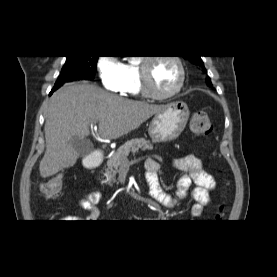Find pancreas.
<instances>
[{"mask_svg": "<svg viewBox=\"0 0 277 277\" xmlns=\"http://www.w3.org/2000/svg\"><path fill=\"white\" fill-rule=\"evenodd\" d=\"M139 149L152 150L153 146L150 141L144 138H136L126 142L121 146L107 161V169L105 170L106 179L102 183L112 185L115 181V176L118 172V168L128 161L127 157L129 153L135 154Z\"/></svg>", "mask_w": 277, "mask_h": 277, "instance_id": "pancreas-1", "label": "pancreas"}]
</instances>
